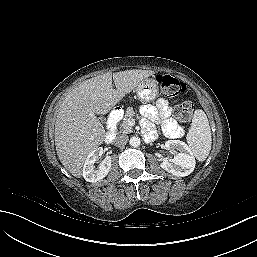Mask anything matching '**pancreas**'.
Returning <instances> with one entry per match:
<instances>
[{"label": "pancreas", "instance_id": "pancreas-1", "mask_svg": "<svg viewBox=\"0 0 257 257\" xmlns=\"http://www.w3.org/2000/svg\"><path fill=\"white\" fill-rule=\"evenodd\" d=\"M134 116V111L132 107H128L125 113V117L123 118L121 127H120V132L124 134H129L133 132L132 127L129 125V120Z\"/></svg>", "mask_w": 257, "mask_h": 257}]
</instances>
